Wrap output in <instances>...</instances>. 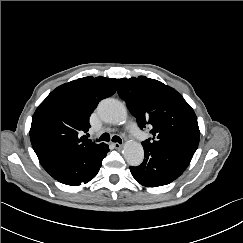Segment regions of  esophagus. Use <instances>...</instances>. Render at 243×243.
<instances>
[{
	"mask_svg": "<svg viewBox=\"0 0 243 243\" xmlns=\"http://www.w3.org/2000/svg\"><path fill=\"white\" fill-rule=\"evenodd\" d=\"M113 146H114V148L117 149V150H119V149L122 148V144H119V143H114Z\"/></svg>",
	"mask_w": 243,
	"mask_h": 243,
	"instance_id": "1",
	"label": "esophagus"
}]
</instances>
